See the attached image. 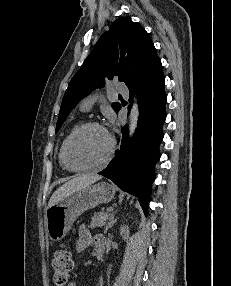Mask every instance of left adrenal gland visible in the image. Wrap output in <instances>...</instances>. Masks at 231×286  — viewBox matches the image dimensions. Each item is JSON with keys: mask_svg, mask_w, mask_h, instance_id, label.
<instances>
[{"mask_svg": "<svg viewBox=\"0 0 231 286\" xmlns=\"http://www.w3.org/2000/svg\"><path fill=\"white\" fill-rule=\"evenodd\" d=\"M116 212H117V210L116 211H112V213L110 214L109 222L107 223V225L105 227V233H107L108 229L110 227H112V225L116 222L117 219L114 218Z\"/></svg>", "mask_w": 231, "mask_h": 286, "instance_id": "a2214340", "label": "left adrenal gland"}]
</instances>
